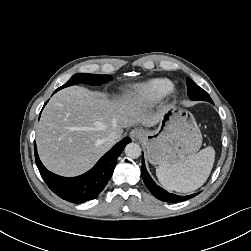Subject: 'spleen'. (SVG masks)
<instances>
[{"label":"spleen","mask_w":251,"mask_h":251,"mask_svg":"<svg viewBox=\"0 0 251 251\" xmlns=\"http://www.w3.org/2000/svg\"><path fill=\"white\" fill-rule=\"evenodd\" d=\"M215 151L206 147L188 160L176 164H160L156 176L167 190L189 193L201 187L213 168Z\"/></svg>","instance_id":"obj_1"}]
</instances>
